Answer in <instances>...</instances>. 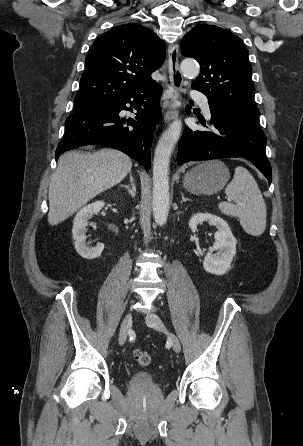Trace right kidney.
<instances>
[{
    "mask_svg": "<svg viewBox=\"0 0 303 446\" xmlns=\"http://www.w3.org/2000/svg\"><path fill=\"white\" fill-rule=\"evenodd\" d=\"M103 206V201H96L88 204L80 209L74 218L72 236L75 240V249L81 257L88 260L99 257L104 249L103 243H98L94 247H90L86 243V227L88 225V220L91 219L94 214H97Z\"/></svg>",
    "mask_w": 303,
    "mask_h": 446,
    "instance_id": "ca27d5eb",
    "label": "right kidney"
}]
</instances>
